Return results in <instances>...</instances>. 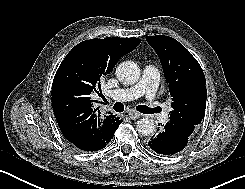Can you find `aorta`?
<instances>
[{
  "mask_svg": "<svg viewBox=\"0 0 245 189\" xmlns=\"http://www.w3.org/2000/svg\"><path fill=\"white\" fill-rule=\"evenodd\" d=\"M141 75L139 66L133 61H124L118 65L116 69V76L123 84L136 83ZM155 123L151 118L143 117L136 124V130L139 134L147 136L153 133Z\"/></svg>",
  "mask_w": 245,
  "mask_h": 189,
  "instance_id": "aorta-1",
  "label": "aorta"
}]
</instances>
